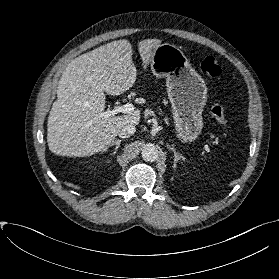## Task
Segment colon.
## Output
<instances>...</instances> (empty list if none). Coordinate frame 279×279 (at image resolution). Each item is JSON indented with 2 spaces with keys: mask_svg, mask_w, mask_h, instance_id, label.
I'll return each mask as SVG.
<instances>
[{
  "mask_svg": "<svg viewBox=\"0 0 279 279\" xmlns=\"http://www.w3.org/2000/svg\"><path fill=\"white\" fill-rule=\"evenodd\" d=\"M200 70L211 77H218L221 74V67L213 56H207L203 59L200 65ZM211 113L214 119L225 126L227 123L224 108L221 104L215 103L211 108Z\"/></svg>",
  "mask_w": 279,
  "mask_h": 279,
  "instance_id": "1",
  "label": "colon"
}]
</instances>
